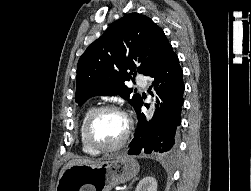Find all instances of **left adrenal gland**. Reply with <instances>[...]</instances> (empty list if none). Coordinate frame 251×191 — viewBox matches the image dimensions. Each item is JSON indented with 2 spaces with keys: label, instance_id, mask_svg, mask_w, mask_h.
Listing matches in <instances>:
<instances>
[{
  "label": "left adrenal gland",
  "instance_id": "left-adrenal-gland-1",
  "mask_svg": "<svg viewBox=\"0 0 251 191\" xmlns=\"http://www.w3.org/2000/svg\"><path fill=\"white\" fill-rule=\"evenodd\" d=\"M136 179H138V177H135V179H133V181H131V183H129V185H128L127 189H130V187H131L132 183H134V181H136Z\"/></svg>",
  "mask_w": 251,
  "mask_h": 191
}]
</instances>
